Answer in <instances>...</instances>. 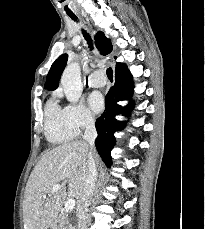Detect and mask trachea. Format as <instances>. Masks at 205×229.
<instances>
[{
    "label": "trachea",
    "mask_w": 205,
    "mask_h": 229,
    "mask_svg": "<svg viewBox=\"0 0 205 229\" xmlns=\"http://www.w3.org/2000/svg\"><path fill=\"white\" fill-rule=\"evenodd\" d=\"M69 17L73 20H77V17L75 15H69ZM83 35L85 37V39L87 40L88 44H89V48L92 50L93 49V45H92V41L90 39V36L86 33V31H83ZM106 74L108 76L109 79L113 78V70L112 68H108L106 70Z\"/></svg>",
    "instance_id": "trachea-1"
}]
</instances>
